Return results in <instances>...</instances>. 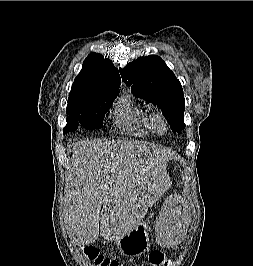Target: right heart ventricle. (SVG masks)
I'll use <instances>...</instances> for the list:
<instances>
[{
    "label": "right heart ventricle",
    "instance_id": "right-heart-ventricle-1",
    "mask_svg": "<svg viewBox=\"0 0 253 266\" xmlns=\"http://www.w3.org/2000/svg\"><path fill=\"white\" fill-rule=\"evenodd\" d=\"M117 117L124 129L136 136L146 137L152 130L148 114L138 107L131 105L129 99L121 101Z\"/></svg>",
    "mask_w": 253,
    "mask_h": 266
}]
</instances>
